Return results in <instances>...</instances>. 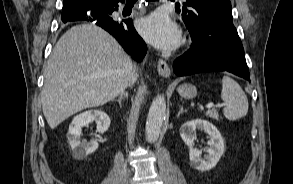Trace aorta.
Returning a JSON list of instances; mask_svg holds the SVG:
<instances>
[{"mask_svg": "<svg viewBox=\"0 0 293 184\" xmlns=\"http://www.w3.org/2000/svg\"><path fill=\"white\" fill-rule=\"evenodd\" d=\"M166 114V101L163 95H158L150 106L146 122V139L155 142L160 133Z\"/></svg>", "mask_w": 293, "mask_h": 184, "instance_id": "1", "label": "aorta"}]
</instances>
